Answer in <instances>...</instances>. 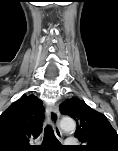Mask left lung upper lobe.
I'll return each instance as SVG.
<instances>
[{
  "mask_svg": "<svg viewBox=\"0 0 118 151\" xmlns=\"http://www.w3.org/2000/svg\"><path fill=\"white\" fill-rule=\"evenodd\" d=\"M60 111L77 122L75 136L85 145L81 151H118V135L106 116L89 107L79 98L65 100Z\"/></svg>",
  "mask_w": 118,
  "mask_h": 151,
  "instance_id": "5c2ea615",
  "label": "left lung upper lobe"
}]
</instances>
